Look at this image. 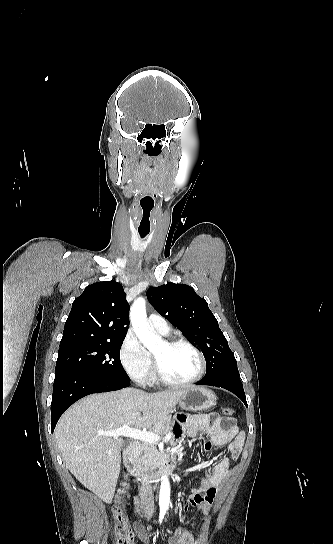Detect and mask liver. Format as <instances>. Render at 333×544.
<instances>
[{"label": "liver", "instance_id": "liver-1", "mask_svg": "<svg viewBox=\"0 0 333 544\" xmlns=\"http://www.w3.org/2000/svg\"><path fill=\"white\" fill-rule=\"evenodd\" d=\"M186 390L145 393L127 388L93 394L60 418L55 437L66 468L87 489L110 503L120 472L123 440L102 435L125 424L148 428L168 417Z\"/></svg>", "mask_w": 333, "mask_h": 544}]
</instances>
